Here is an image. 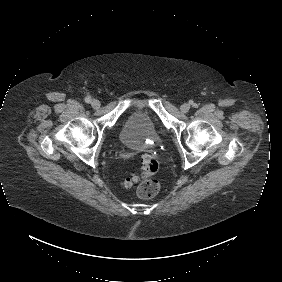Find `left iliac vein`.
Masks as SVG:
<instances>
[{
	"label": "left iliac vein",
	"mask_w": 282,
	"mask_h": 282,
	"mask_svg": "<svg viewBox=\"0 0 282 282\" xmlns=\"http://www.w3.org/2000/svg\"><path fill=\"white\" fill-rule=\"evenodd\" d=\"M180 110L182 113H187L190 110V105L188 103H185L181 105Z\"/></svg>",
	"instance_id": "obj_1"
}]
</instances>
